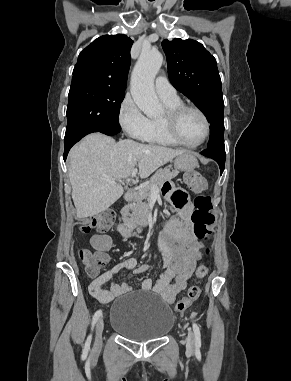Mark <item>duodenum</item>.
Masks as SVG:
<instances>
[{
    "instance_id": "410a0bca",
    "label": "duodenum",
    "mask_w": 291,
    "mask_h": 381,
    "mask_svg": "<svg viewBox=\"0 0 291 381\" xmlns=\"http://www.w3.org/2000/svg\"><path fill=\"white\" fill-rule=\"evenodd\" d=\"M137 191L135 189H129L124 194V199L126 202H132L136 197ZM117 231L122 234L124 237H129L131 234V230L126 228L122 224L117 225Z\"/></svg>"
}]
</instances>
